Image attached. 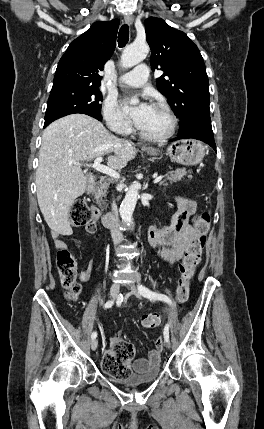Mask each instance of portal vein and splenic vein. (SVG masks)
I'll use <instances>...</instances> for the list:
<instances>
[{"mask_svg": "<svg viewBox=\"0 0 264 429\" xmlns=\"http://www.w3.org/2000/svg\"><path fill=\"white\" fill-rule=\"evenodd\" d=\"M102 161V157H98L96 158V160L94 161L93 164H84V166H91L92 168H94L95 170L102 172L104 174H107L108 176L114 178V179H119L120 178V174L114 170L113 168H110L108 166L102 165L101 164ZM71 164L74 165H78V166H82L83 164H81L80 162H70ZM163 178V176H157L154 179V183H158L159 181H161Z\"/></svg>", "mask_w": 264, "mask_h": 429, "instance_id": "obj_1", "label": "portal vein and splenic vein"}]
</instances>
